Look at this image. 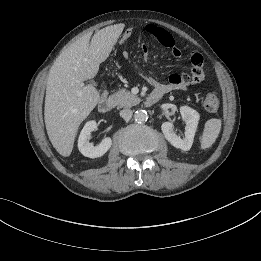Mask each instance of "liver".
I'll list each match as a JSON object with an SVG mask.
<instances>
[{"label": "liver", "mask_w": 261, "mask_h": 261, "mask_svg": "<svg viewBox=\"0 0 261 261\" xmlns=\"http://www.w3.org/2000/svg\"><path fill=\"white\" fill-rule=\"evenodd\" d=\"M124 28L123 24L97 31L91 42L83 36L56 59L48 75L44 119L50 142L56 151L70 156L79 125L100 100V94L84 81L93 79L111 53Z\"/></svg>", "instance_id": "1"}]
</instances>
